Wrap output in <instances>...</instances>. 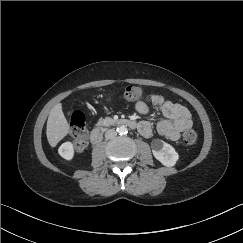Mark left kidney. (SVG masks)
Instances as JSON below:
<instances>
[{"label":"left kidney","instance_id":"left-kidney-1","mask_svg":"<svg viewBox=\"0 0 243 243\" xmlns=\"http://www.w3.org/2000/svg\"><path fill=\"white\" fill-rule=\"evenodd\" d=\"M154 157L164 166L172 167L179 159L178 153L168 143L160 139H155L151 143Z\"/></svg>","mask_w":243,"mask_h":243}]
</instances>
